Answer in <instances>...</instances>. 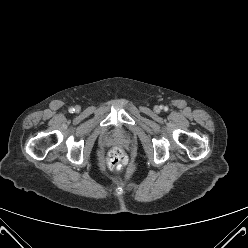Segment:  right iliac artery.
<instances>
[{
  "mask_svg": "<svg viewBox=\"0 0 248 248\" xmlns=\"http://www.w3.org/2000/svg\"><path fill=\"white\" fill-rule=\"evenodd\" d=\"M74 111H75L74 108H70V109H69V112H70V113H73Z\"/></svg>",
  "mask_w": 248,
  "mask_h": 248,
  "instance_id": "1",
  "label": "right iliac artery"
}]
</instances>
